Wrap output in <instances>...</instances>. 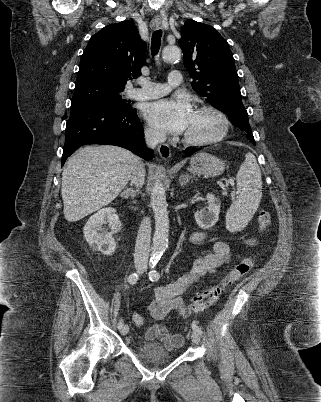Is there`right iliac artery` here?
<instances>
[{
	"instance_id": "obj_1",
	"label": "right iliac artery",
	"mask_w": 321,
	"mask_h": 402,
	"mask_svg": "<svg viewBox=\"0 0 321 402\" xmlns=\"http://www.w3.org/2000/svg\"><path fill=\"white\" fill-rule=\"evenodd\" d=\"M139 279V274L138 273H132L128 277V281L130 284H135L137 280ZM123 327V321L120 320L118 323V329H121Z\"/></svg>"
}]
</instances>
